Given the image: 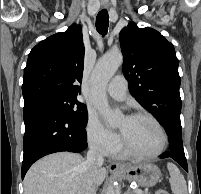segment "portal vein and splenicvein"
Segmentation results:
<instances>
[{
  "label": "portal vein and splenic vein",
  "mask_w": 201,
  "mask_h": 194,
  "mask_svg": "<svg viewBox=\"0 0 201 194\" xmlns=\"http://www.w3.org/2000/svg\"><path fill=\"white\" fill-rule=\"evenodd\" d=\"M134 192H135V194H142V190H140V189H135Z\"/></svg>",
  "instance_id": "18ae733b"
}]
</instances>
